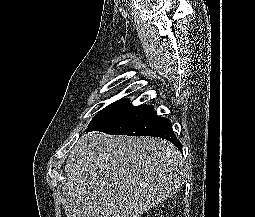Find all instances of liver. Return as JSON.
I'll list each match as a JSON object with an SVG mask.
<instances>
[{
    "label": "liver",
    "mask_w": 255,
    "mask_h": 217,
    "mask_svg": "<svg viewBox=\"0 0 255 217\" xmlns=\"http://www.w3.org/2000/svg\"><path fill=\"white\" fill-rule=\"evenodd\" d=\"M66 217H140L177 193L184 160L169 141L155 137L82 135L65 165Z\"/></svg>",
    "instance_id": "1"
}]
</instances>
